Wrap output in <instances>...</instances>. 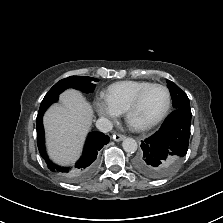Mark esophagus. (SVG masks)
Here are the masks:
<instances>
[{"instance_id":"obj_1","label":"esophagus","mask_w":223,"mask_h":223,"mask_svg":"<svg viewBox=\"0 0 223 223\" xmlns=\"http://www.w3.org/2000/svg\"><path fill=\"white\" fill-rule=\"evenodd\" d=\"M113 139L117 142L122 141L123 139H125V135L122 134H114L113 135Z\"/></svg>"}]
</instances>
